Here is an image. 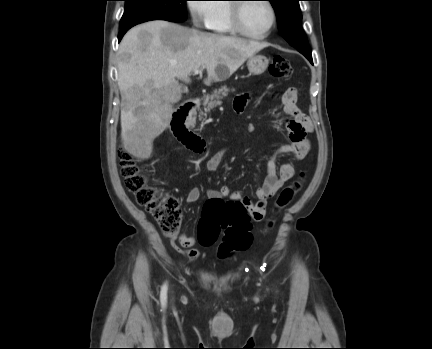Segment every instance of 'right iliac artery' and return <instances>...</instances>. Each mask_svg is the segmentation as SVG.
Wrapping results in <instances>:
<instances>
[{
    "label": "right iliac artery",
    "mask_w": 432,
    "mask_h": 349,
    "mask_svg": "<svg viewBox=\"0 0 432 349\" xmlns=\"http://www.w3.org/2000/svg\"><path fill=\"white\" fill-rule=\"evenodd\" d=\"M160 301L162 308H165L167 303V283H164L161 288Z\"/></svg>",
    "instance_id": "right-iliac-artery-1"
}]
</instances>
